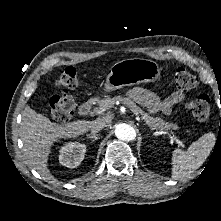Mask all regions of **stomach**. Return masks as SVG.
Segmentation results:
<instances>
[{
	"mask_svg": "<svg viewBox=\"0 0 221 221\" xmlns=\"http://www.w3.org/2000/svg\"><path fill=\"white\" fill-rule=\"evenodd\" d=\"M160 78V68L152 60L131 58L116 62L106 78L104 91L111 92L125 86L155 82Z\"/></svg>",
	"mask_w": 221,
	"mask_h": 221,
	"instance_id": "1",
	"label": "stomach"
}]
</instances>
